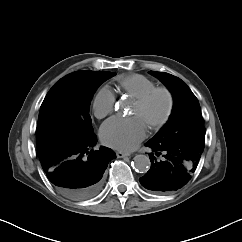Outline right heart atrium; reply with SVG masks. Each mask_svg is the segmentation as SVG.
Segmentation results:
<instances>
[{"instance_id":"d8ad5b80","label":"right heart atrium","mask_w":242,"mask_h":242,"mask_svg":"<svg viewBox=\"0 0 242 242\" xmlns=\"http://www.w3.org/2000/svg\"><path fill=\"white\" fill-rule=\"evenodd\" d=\"M116 98L108 87H101L95 94L92 101L94 115L101 119L110 114L115 107Z\"/></svg>"}]
</instances>
